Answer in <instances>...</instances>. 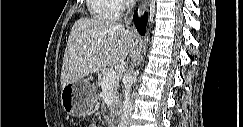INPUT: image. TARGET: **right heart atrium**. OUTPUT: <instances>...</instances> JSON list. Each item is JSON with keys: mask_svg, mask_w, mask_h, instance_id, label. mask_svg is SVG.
<instances>
[{"mask_svg": "<svg viewBox=\"0 0 243 127\" xmlns=\"http://www.w3.org/2000/svg\"><path fill=\"white\" fill-rule=\"evenodd\" d=\"M118 6H117V13H122V12H125L128 7H129V1L127 0H118Z\"/></svg>", "mask_w": 243, "mask_h": 127, "instance_id": "d8ad5b80", "label": "right heart atrium"}]
</instances>
